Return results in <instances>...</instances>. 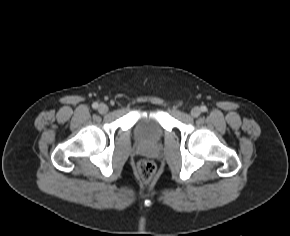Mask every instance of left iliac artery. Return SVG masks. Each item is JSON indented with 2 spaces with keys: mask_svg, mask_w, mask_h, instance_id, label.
Here are the masks:
<instances>
[{
  "mask_svg": "<svg viewBox=\"0 0 290 236\" xmlns=\"http://www.w3.org/2000/svg\"><path fill=\"white\" fill-rule=\"evenodd\" d=\"M201 111L202 112H206L207 111V107L206 106H201Z\"/></svg>",
  "mask_w": 290,
  "mask_h": 236,
  "instance_id": "44dca946",
  "label": "left iliac artery"
}]
</instances>
